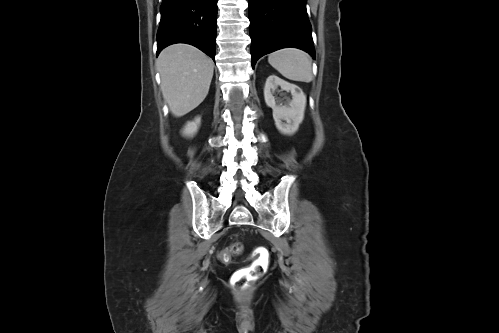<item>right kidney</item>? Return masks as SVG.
<instances>
[{
    "label": "right kidney",
    "mask_w": 499,
    "mask_h": 333,
    "mask_svg": "<svg viewBox=\"0 0 499 333\" xmlns=\"http://www.w3.org/2000/svg\"><path fill=\"white\" fill-rule=\"evenodd\" d=\"M200 122V117L195 118L194 121L187 122L182 131L183 135L192 137L198 131Z\"/></svg>",
    "instance_id": "obj_1"
}]
</instances>
